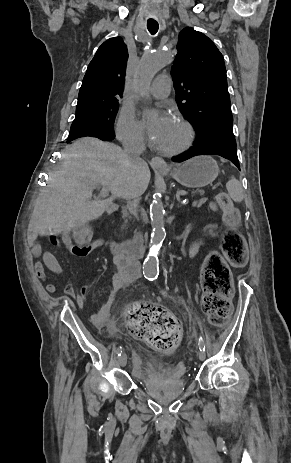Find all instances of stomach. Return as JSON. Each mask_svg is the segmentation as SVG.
Here are the masks:
<instances>
[{
	"mask_svg": "<svg viewBox=\"0 0 291 463\" xmlns=\"http://www.w3.org/2000/svg\"><path fill=\"white\" fill-rule=\"evenodd\" d=\"M218 173V165L210 156L194 157L170 171L178 183L189 188L204 187L212 183Z\"/></svg>",
	"mask_w": 291,
	"mask_h": 463,
	"instance_id": "0dacf381",
	"label": "stomach"
}]
</instances>
